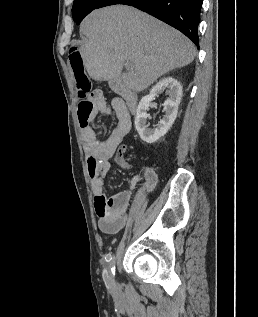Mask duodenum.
Returning <instances> with one entry per match:
<instances>
[{"label":"duodenum","instance_id":"obj_1","mask_svg":"<svg viewBox=\"0 0 258 317\" xmlns=\"http://www.w3.org/2000/svg\"><path fill=\"white\" fill-rule=\"evenodd\" d=\"M131 108H132L133 110L136 109V102H133V103L131 104Z\"/></svg>","mask_w":258,"mask_h":317}]
</instances>
